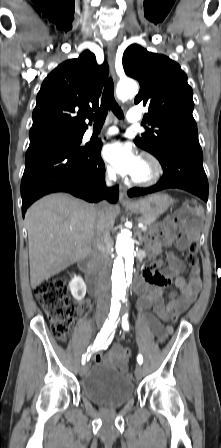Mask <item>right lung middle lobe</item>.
Wrapping results in <instances>:
<instances>
[{
    "label": "right lung middle lobe",
    "mask_w": 221,
    "mask_h": 448,
    "mask_svg": "<svg viewBox=\"0 0 221 448\" xmlns=\"http://www.w3.org/2000/svg\"><path fill=\"white\" fill-rule=\"evenodd\" d=\"M82 137H83V134L67 136V137H63L58 140H55L53 142H71V143L76 144L80 148L85 149V148L89 147V145H85V146L80 145L81 141H82Z\"/></svg>",
    "instance_id": "right-lung-middle-lobe-1"
}]
</instances>
